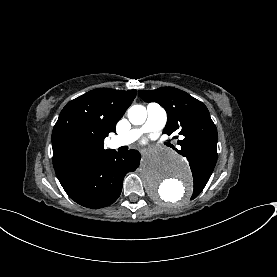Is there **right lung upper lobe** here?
Instances as JSON below:
<instances>
[{
  "instance_id": "obj_1",
  "label": "right lung upper lobe",
  "mask_w": 277,
  "mask_h": 277,
  "mask_svg": "<svg viewBox=\"0 0 277 277\" xmlns=\"http://www.w3.org/2000/svg\"><path fill=\"white\" fill-rule=\"evenodd\" d=\"M136 96V90H91L70 101L52 132L53 166L59 178L88 160L110 152L104 139Z\"/></svg>"
}]
</instances>
